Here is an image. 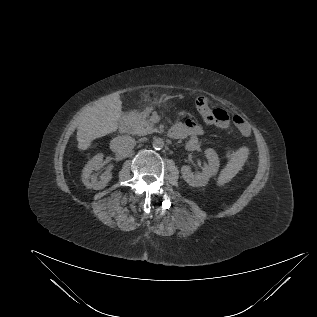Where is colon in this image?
Returning a JSON list of instances; mask_svg holds the SVG:
<instances>
[{
    "label": "colon",
    "instance_id": "colon-1",
    "mask_svg": "<svg viewBox=\"0 0 317 317\" xmlns=\"http://www.w3.org/2000/svg\"><path fill=\"white\" fill-rule=\"evenodd\" d=\"M196 106L200 111L205 122L222 124L227 118V114L221 109H210V101L206 97H199Z\"/></svg>",
    "mask_w": 317,
    "mask_h": 317
}]
</instances>
